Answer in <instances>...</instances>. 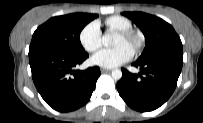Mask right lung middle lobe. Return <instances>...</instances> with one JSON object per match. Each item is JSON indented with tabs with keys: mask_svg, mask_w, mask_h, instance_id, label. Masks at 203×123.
Listing matches in <instances>:
<instances>
[{
	"mask_svg": "<svg viewBox=\"0 0 203 123\" xmlns=\"http://www.w3.org/2000/svg\"><path fill=\"white\" fill-rule=\"evenodd\" d=\"M96 17L98 15L87 13L53 17L34 32L30 48L42 47L69 54L85 53L80 42V32Z\"/></svg>",
	"mask_w": 203,
	"mask_h": 123,
	"instance_id": "dd1d6c3e",
	"label": "right lung middle lobe"
}]
</instances>
